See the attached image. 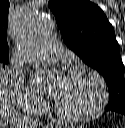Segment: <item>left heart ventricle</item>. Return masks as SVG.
<instances>
[{
	"instance_id": "1",
	"label": "left heart ventricle",
	"mask_w": 125,
	"mask_h": 128,
	"mask_svg": "<svg viewBox=\"0 0 125 128\" xmlns=\"http://www.w3.org/2000/svg\"><path fill=\"white\" fill-rule=\"evenodd\" d=\"M97 81L86 73L65 75L62 87L55 98L68 112H83L96 105L99 99Z\"/></svg>"
}]
</instances>
